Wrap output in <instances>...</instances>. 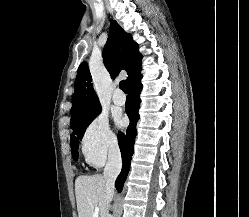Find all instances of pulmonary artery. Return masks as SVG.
<instances>
[{
  "label": "pulmonary artery",
  "instance_id": "e3ab8cb5",
  "mask_svg": "<svg viewBox=\"0 0 249 217\" xmlns=\"http://www.w3.org/2000/svg\"><path fill=\"white\" fill-rule=\"evenodd\" d=\"M112 100L118 106L124 105L126 101L125 96L120 91L114 93Z\"/></svg>",
  "mask_w": 249,
  "mask_h": 217
}]
</instances>
